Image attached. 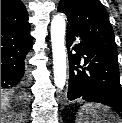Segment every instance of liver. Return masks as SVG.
Wrapping results in <instances>:
<instances>
[{
  "label": "liver",
  "mask_w": 122,
  "mask_h": 123,
  "mask_svg": "<svg viewBox=\"0 0 122 123\" xmlns=\"http://www.w3.org/2000/svg\"><path fill=\"white\" fill-rule=\"evenodd\" d=\"M15 117H17L15 114L4 112L3 109H1V123H11Z\"/></svg>",
  "instance_id": "obj_1"
}]
</instances>
